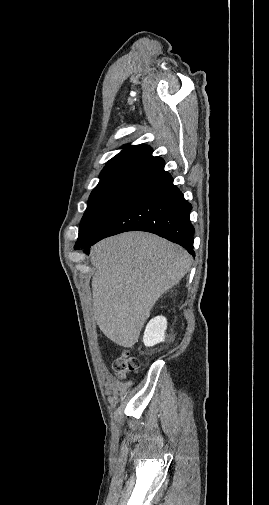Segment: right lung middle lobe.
<instances>
[{"label": "right lung middle lobe", "instance_id": "obj_1", "mask_svg": "<svg viewBox=\"0 0 269 505\" xmlns=\"http://www.w3.org/2000/svg\"><path fill=\"white\" fill-rule=\"evenodd\" d=\"M137 190L120 186L95 188L89 197L87 209L82 217L74 249H80L92 243Z\"/></svg>", "mask_w": 269, "mask_h": 505}]
</instances>
